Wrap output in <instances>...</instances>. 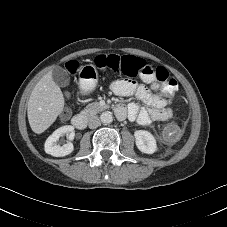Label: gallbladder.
<instances>
[{
  "instance_id": "1",
  "label": "gallbladder",
  "mask_w": 227,
  "mask_h": 227,
  "mask_svg": "<svg viewBox=\"0 0 227 227\" xmlns=\"http://www.w3.org/2000/svg\"><path fill=\"white\" fill-rule=\"evenodd\" d=\"M54 82L60 87H66L70 82L69 72L62 68L56 67L52 72Z\"/></svg>"
}]
</instances>
